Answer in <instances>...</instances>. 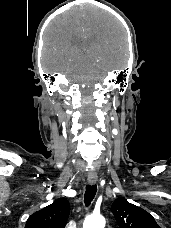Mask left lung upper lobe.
<instances>
[{
  "label": "left lung upper lobe",
  "mask_w": 171,
  "mask_h": 228,
  "mask_svg": "<svg viewBox=\"0 0 171 228\" xmlns=\"http://www.w3.org/2000/svg\"><path fill=\"white\" fill-rule=\"evenodd\" d=\"M111 211L120 228H160L151 214L123 198L114 201Z\"/></svg>",
  "instance_id": "1"
}]
</instances>
